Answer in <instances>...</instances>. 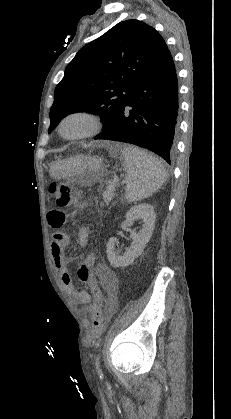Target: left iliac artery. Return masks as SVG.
Masks as SVG:
<instances>
[{
  "instance_id": "44dca946",
  "label": "left iliac artery",
  "mask_w": 231,
  "mask_h": 419,
  "mask_svg": "<svg viewBox=\"0 0 231 419\" xmlns=\"http://www.w3.org/2000/svg\"><path fill=\"white\" fill-rule=\"evenodd\" d=\"M96 369L98 374L101 376L102 375V370L100 368V357L99 355L96 357Z\"/></svg>"
}]
</instances>
